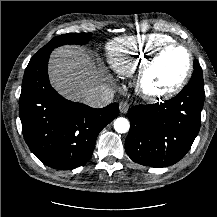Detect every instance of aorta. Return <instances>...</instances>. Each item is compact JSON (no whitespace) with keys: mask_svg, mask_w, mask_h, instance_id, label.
Masks as SVG:
<instances>
[{"mask_svg":"<svg viewBox=\"0 0 217 217\" xmlns=\"http://www.w3.org/2000/svg\"><path fill=\"white\" fill-rule=\"evenodd\" d=\"M114 129L118 133H126L130 129V123L126 118L120 117L114 121Z\"/></svg>","mask_w":217,"mask_h":217,"instance_id":"1","label":"aorta"}]
</instances>
